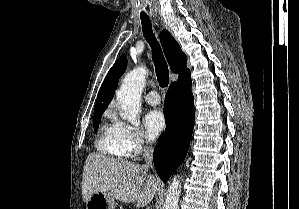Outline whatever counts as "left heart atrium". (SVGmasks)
Segmentation results:
<instances>
[{
  "label": "left heart atrium",
  "instance_id": "39dd6f15",
  "mask_svg": "<svg viewBox=\"0 0 299 209\" xmlns=\"http://www.w3.org/2000/svg\"><path fill=\"white\" fill-rule=\"evenodd\" d=\"M146 134L149 139H156L166 127V118L162 111L151 110L144 119Z\"/></svg>",
  "mask_w": 299,
  "mask_h": 209
}]
</instances>
